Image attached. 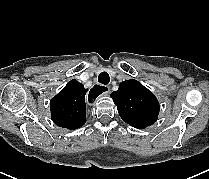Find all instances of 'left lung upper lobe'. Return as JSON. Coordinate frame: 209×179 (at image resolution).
Returning a JSON list of instances; mask_svg holds the SVG:
<instances>
[{"label": "left lung upper lobe", "instance_id": "1", "mask_svg": "<svg viewBox=\"0 0 209 179\" xmlns=\"http://www.w3.org/2000/svg\"><path fill=\"white\" fill-rule=\"evenodd\" d=\"M110 97L122 120L132 127L144 129L158 118L160 106L157 98L137 80L121 82L119 89L112 92Z\"/></svg>", "mask_w": 209, "mask_h": 179}]
</instances>
